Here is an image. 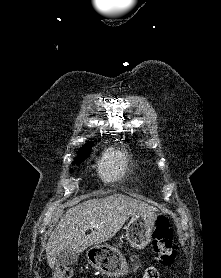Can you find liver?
Returning <instances> with one entry per match:
<instances>
[{
	"instance_id": "liver-1",
	"label": "liver",
	"mask_w": 221,
	"mask_h": 278,
	"mask_svg": "<svg viewBox=\"0 0 221 278\" xmlns=\"http://www.w3.org/2000/svg\"><path fill=\"white\" fill-rule=\"evenodd\" d=\"M66 211L50 235L46 245L47 261L51 268L63 251L81 253L94 244L111 239L136 214L154 213L156 208L146 202L123 194H113L78 202ZM90 225L94 230L86 235Z\"/></svg>"
}]
</instances>
